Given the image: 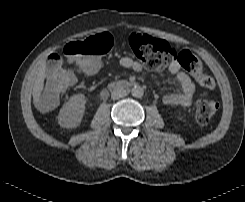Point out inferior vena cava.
Here are the masks:
<instances>
[{
	"mask_svg": "<svg viewBox=\"0 0 245 202\" xmlns=\"http://www.w3.org/2000/svg\"><path fill=\"white\" fill-rule=\"evenodd\" d=\"M127 95V91L123 88H115L112 92H111V98L113 100H117L120 98H123Z\"/></svg>",
	"mask_w": 245,
	"mask_h": 202,
	"instance_id": "inferior-vena-cava-1",
	"label": "inferior vena cava"
}]
</instances>
